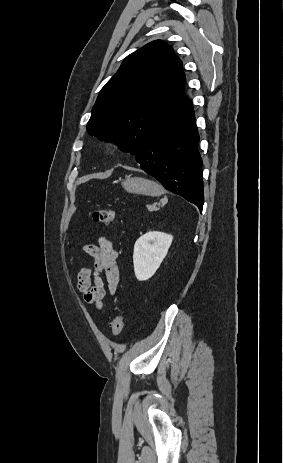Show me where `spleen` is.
Here are the masks:
<instances>
[{
    "label": "spleen",
    "mask_w": 283,
    "mask_h": 463,
    "mask_svg": "<svg viewBox=\"0 0 283 463\" xmlns=\"http://www.w3.org/2000/svg\"><path fill=\"white\" fill-rule=\"evenodd\" d=\"M165 200H166V198H164L162 201H165Z\"/></svg>",
    "instance_id": "1"
}]
</instances>
